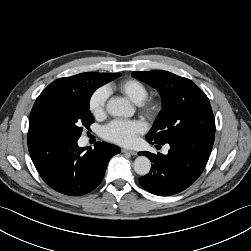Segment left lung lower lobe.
<instances>
[{"label": "left lung lower lobe", "mask_w": 251, "mask_h": 251, "mask_svg": "<svg viewBox=\"0 0 251 251\" xmlns=\"http://www.w3.org/2000/svg\"><path fill=\"white\" fill-rule=\"evenodd\" d=\"M213 143L214 135L186 136L168 142L170 149L166 155L139 152L153 163L150 172L139 178L141 186L159 196L173 195L187 189L203 172Z\"/></svg>", "instance_id": "0a47b994"}]
</instances>
